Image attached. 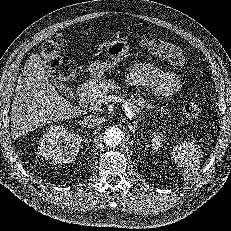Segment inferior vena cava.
<instances>
[{"mask_svg": "<svg viewBox=\"0 0 231 231\" xmlns=\"http://www.w3.org/2000/svg\"><path fill=\"white\" fill-rule=\"evenodd\" d=\"M102 122V119L95 115L85 116L82 120V125L85 127H95L98 126Z\"/></svg>", "mask_w": 231, "mask_h": 231, "instance_id": "602c4592", "label": "inferior vena cava"}]
</instances>
